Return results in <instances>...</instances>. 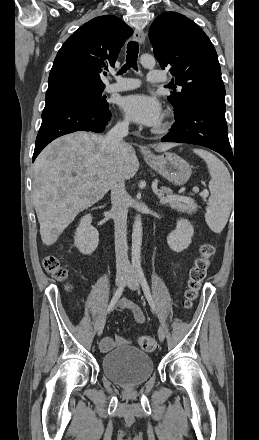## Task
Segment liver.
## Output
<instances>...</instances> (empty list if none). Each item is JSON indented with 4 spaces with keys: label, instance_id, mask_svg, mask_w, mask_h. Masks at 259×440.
<instances>
[{
    "label": "liver",
    "instance_id": "obj_1",
    "mask_svg": "<svg viewBox=\"0 0 259 440\" xmlns=\"http://www.w3.org/2000/svg\"><path fill=\"white\" fill-rule=\"evenodd\" d=\"M175 145L159 143L157 152ZM115 155L99 134L79 131L51 142L33 166V205L42 242L53 245L64 229L83 210L101 200L110 189ZM124 180L139 169L134 148L127 144L119 165Z\"/></svg>",
    "mask_w": 259,
    "mask_h": 440
}]
</instances>
